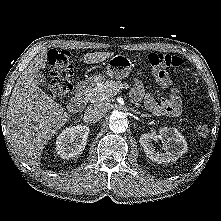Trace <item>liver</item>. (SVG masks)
<instances>
[{"instance_id":"6515ba94","label":"liver","mask_w":221,"mask_h":221,"mask_svg":"<svg viewBox=\"0 0 221 221\" xmlns=\"http://www.w3.org/2000/svg\"><path fill=\"white\" fill-rule=\"evenodd\" d=\"M48 51L43 50L22 72L12 91L7 109L8 140L15 153L28 165L37 167L46 143L68 121L64 108L36 83L35 75L46 67ZM113 52L87 53L84 63H100Z\"/></svg>"}]
</instances>
